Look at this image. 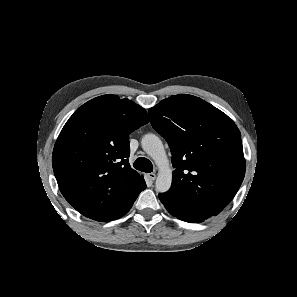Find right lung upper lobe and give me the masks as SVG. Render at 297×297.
<instances>
[{"mask_svg":"<svg viewBox=\"0 0 297 297\" xmlns=\"http://www.w3.org/2000/svg\"><path fill=\"white\" fill-rule=\"evenodd\" d=\"M149 122L145 109L116 95L96 97L69 118L52 164L65 199L96 221L111 217L144 182L129 164V135Z\"/></svg>","mask_w":297,"mask_h":297,"instance_id":"right-lung-upper-lobe-1","label":"right lung upper lobe"}]
</instances>
